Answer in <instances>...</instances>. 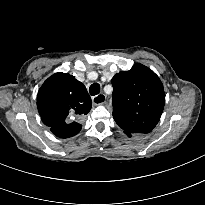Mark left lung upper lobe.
<instances>
[{"label": "left lung upper lobe", "mask_w": 205, "mask_h": 205, "mask_svg": "<svg viewBox=\"0 0 205 205\" xmlns=\"http://www.w3.org/2000/svg\"><path fill=\"white\" fill-rule=\"evenodd\" d=\"M113 118L128 133H150L165 103L163 84L148 67L136 63L112 78Z\"/></svg>", "instance_id": "5c2ea615"}]
</instances>
